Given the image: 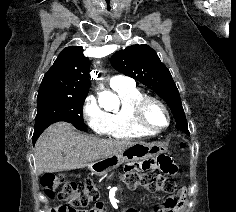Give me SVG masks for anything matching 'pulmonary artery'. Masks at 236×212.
<instances>
[{
    "label": "pulmonary artery",
    "instance_id": "obj_1",
    "mask_svg": "<svg viewBox=\"0 0 236 212\" xmlns=\"http://www.w3.org/2000/svg\"><path fill=\"white\" fill-rule=\"evenodd\" d=\"M133 82L130 78L122 75H114L110 78L109 84L112 89L131 85Z\"/></svg>",
    "mask_w": 236,
    "mask_h": 212
}]
</instances>
